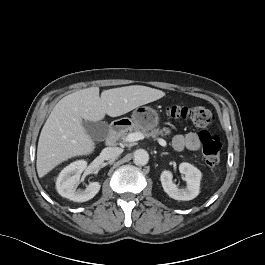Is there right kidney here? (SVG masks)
Segmentation results:
<instances>
[{
  "instance_id": "ca27d5eb",
  "label": "right kidney",
  "mask_w": 265,
  "mask_h": 265,
  "mask_svg": "<svg viewBox=\"0 0 265 265\" xmlns=\"http://www.w3.org/2000/svg\"><path fill=\"white\" fill-rule=\"evenodd\" d=\"M87 162L84 160L75 161L66 166L56 180L58 193L74 202H85L92 199L100 190L99 182L90 183L85 190H76L81 173L86 169Z\"/></svg>"
}]
</instances>
